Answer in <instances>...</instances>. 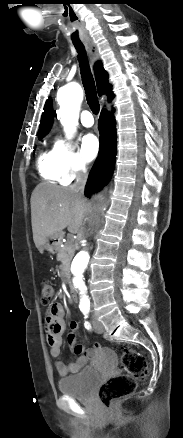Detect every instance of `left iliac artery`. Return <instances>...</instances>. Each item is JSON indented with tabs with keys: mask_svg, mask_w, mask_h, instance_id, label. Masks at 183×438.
Masks as SVG:
<instances>
[{
	"mask_svg": "<svg viewBox=\"0 0 183 438\" xmlns=\"http://www.w3.org/2000/svg\"><path fill=\"white\" fill-rule=\"evenodd\" d=\"M80 310H81L84 314H87V313L89 312L90 308H89V307H82V308H80Z\"/></svg>",
	"mask_w": 183,
	"mask_h": 438,
	"instance_id": "left-iliac-artery-1",
	"label": "left iliac artery"
}]
</instances>
